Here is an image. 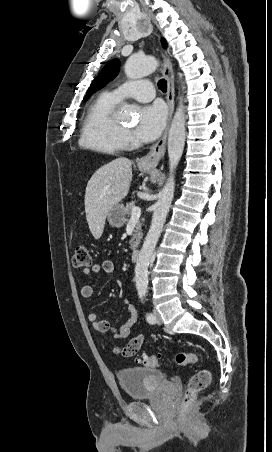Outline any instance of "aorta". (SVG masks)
<instances>
[{"label":"aorta","mask_w":272,"mask_h":452,"mask_svg":"<svg viewBox=\"0 0 272 452\" xmlns=\"http://www.w3.org/2000/svg\"><path fill=\"white\" fill-rule=\"evenodd\" d=\"M157 66L158 61L155 58L132 55L127 59L124 71L129 79H138L155 71ZM132 112L133 108L124 104L119 115L122 118H127ZM185 125L186 119L183 106H180L175 112L168 135L169 178L155 204L151 226L135 266L136 289L140 296L145 295L147 292L149 263L152 260L156 244L162 232L174 196V173L185 145Z\"/></svg>","instance_id":"1"}]
</instances>
